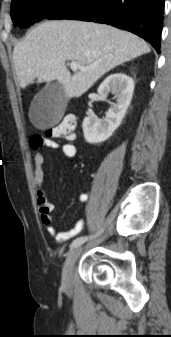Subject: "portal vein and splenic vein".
Instances as JSON below:
<instances>
[{
    "label": "portal vein and splenic vein",
    "instance_id": "18ae733b",
    "mask_svg": "<svg viewBox=\"0 0 171 337\" xmlns=\"http://www.w3.org/2000/svg\"><path fill=\"white\" fill-rule=\"evenodd\" d=\"M70 68L72 70H77V69H81V70H85L87 69L86 67H83L82 65H80L78 62L76 61H71L70 63Z\"/></svg>",
    "mask_w": 171,
    "mask_h": 337
}]
</instances>
